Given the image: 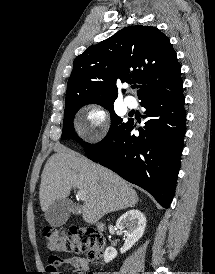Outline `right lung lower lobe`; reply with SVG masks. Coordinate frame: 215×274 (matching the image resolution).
Masks as SVG:
<instances>
[{"label":"right lung lower lobe","mask_w":215,"mask_h":274,"mask_svg":"<svg viewBox=\"0 0 215 274\" xmlns=\"http://www.w3.org/2000/svg\"><path fill=\"white\" fill-rule=\"evenodd\" d=\"M182 89L141 102L147 121L139 135L128 121L104 141L85 148L86 155L147 190L164 208L174 196L185 135L186 112Z\"/></svg>","instance_id":"98d812e1"}]
</instances>
